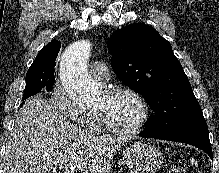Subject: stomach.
Segmentation results:
<instances>
[{"label": "stomach", "mask_w": 219, "mask_h": 173, "mask_svg": "<svg viewBox=\"0 0 219 173\" xmlns=\"http://www.w3.org/2000/svg\"><path fill=\"white\" fill-rule=\"evenodd\" d=\"M122 158L131 173H156L164 161L160 150L146 142H134L123 150Z\"/></svg>", "instance_id": "obj_1"}]
</instances>
